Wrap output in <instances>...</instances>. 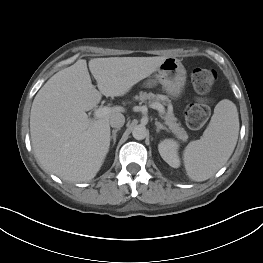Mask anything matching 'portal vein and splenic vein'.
Instances as JSON below:
<instances>
[{"instance_id": "obj_1", "label": "portal vein and splenic vein", "mask_w": 263, "mask_h": 263, "mask_svg": "<svg viewBox=\"0 0 263 263\" xmlns=\"http://www.w3.org/2000/svg\"><path fill=\"white\" fill-rule=\"evenodd\" d=\"M150 107L153 109L158 110L159 115L162 116L163 112H164V107L159 104V103H152L150 104ZM112 108L108 107V106H104V107H99L97 109H95L94 111V117L95 118H102L105 115L109 114L111 112Z\"/></svg>"}]
</instances>
